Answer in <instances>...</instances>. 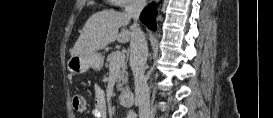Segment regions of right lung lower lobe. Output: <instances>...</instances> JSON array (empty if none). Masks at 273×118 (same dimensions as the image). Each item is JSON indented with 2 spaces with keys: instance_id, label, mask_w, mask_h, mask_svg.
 <instances>
[{
  "instance_id": "right-lung-lower-lobe-1",
  "label": "right lung lower lobe",
  "mask_w": 273,
  "mask_h": 118,
  "mask_svg": "<svg viewBox=\"0 0 273 118\" xmlns=\"http://www.w3.org/2000/svg\"><path fill=\"white\" fill-rule=\"evenodd\" d=\"M156 4L151 3L149 4L141 13L140 20L150 29H156Z\"/></svg>"
}]
</instances>
